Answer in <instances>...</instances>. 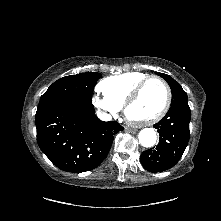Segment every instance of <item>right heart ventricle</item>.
I'll return each mask as SVG.
<instances>
[{
	"label": "right heart ventricle",
	"mask_w": 221,
	"mask_h": 221,
	"mask_svg": "<svg viewBox=\"0 0 221 221\" xmlns=\"http://www.w3.org/2000/svg\"><path fill=\"white\" fill-rule=\"evenodd\" d=\"M148 75L141 72H127L105 78L98 84L103 96L122 107L132 90Z\"/></svg>",
	"instance_id": "e07e8e85"
}]
</instances>
